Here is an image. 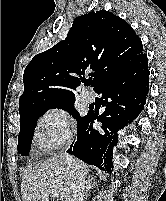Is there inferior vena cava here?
<instances>
[{
  "label": "inferior vena cava",
  "instance_id": "obj_1",
  "mask_svg": "<svg viewBox=\"0 0 166 201\" xmlns=\"http://www.w3.org/2000/svg\"><path fill=\"white\" fill-rule=\"evenodd\" d=\"M69 166V172L72 177V201H83L84 197V175L80 170L78 162L68 153L65 154Z\"/></svg>",
  "mask_w": 166,
  "mask_h": 201
}]
</instances>
